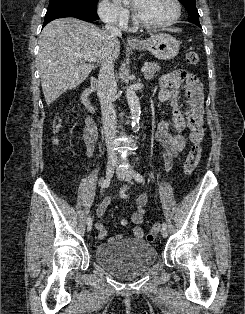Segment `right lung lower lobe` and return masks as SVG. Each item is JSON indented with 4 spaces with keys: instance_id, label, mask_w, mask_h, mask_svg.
Listing matches in <instances>:
<instances>
[{
    "instance_id": "1",
    "label": "right lung lower lobe",
    "mask_w": 245,
    "mask_h": 314,
    "mask_svg": "<svg viewBox=\"0 0 245 314\" xmlns=\"http://www.w3.org/2000/svg\"><path fill=\"white\" fill-rule=\"evenodd\" d=\"M64 17H75V18H78L87 22H92L99 19L97 12H91V11L78 9V8H57V9L47 10L43 27L54 19L64 18Z\"/></svg>"
}]
</instances>
